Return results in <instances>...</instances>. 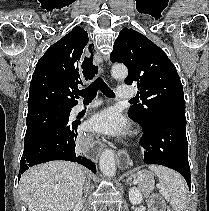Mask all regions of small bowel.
Wrapping results in <instances>:
<instances>
[{
  "label": "small bowel",
  "instance_id": "small-bowel-1",
  "mask_svg": "<svg viewBox=\"0 0 209 211\" xmlns=\"http://www.w3.org/2000/svg\"><path fill=\"white\" fill-rule=\"evenodd\" d=\"M150 211H165L163 200L160 197L155 196L152 198Z\"/></svg>",
  "mask_w": 209,
  "mask_h": 211
}]
</instances>
